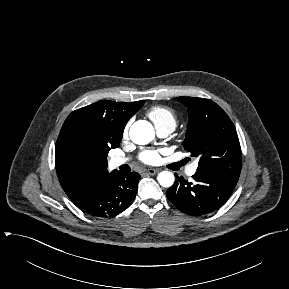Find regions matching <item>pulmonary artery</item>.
Instances as JSON below:
<instances>
[{
    "instance_id": "obj_1",
    "label": "pulmonary artery",
    "mask_w": 289,
    "mask_h": 289,
    "mask_svg": "<svg viewBox=\"0 0 289 289\" xmlns=\"http://www.w3.org/2000/svg\"><path fill=\"white\" fill-rule=\"evenodd\" d=\"M171 132H172V130H170V129L157 130V133L160 137H167ZM128 160H129L128 158L116 156V157L111 158L110 164L113 167H118V166L126 163ZM196 170H197V164L193 163V164L188 166L186 173H187V175L192 176L196 173Z\"/></svg>"
}]
</instances>
